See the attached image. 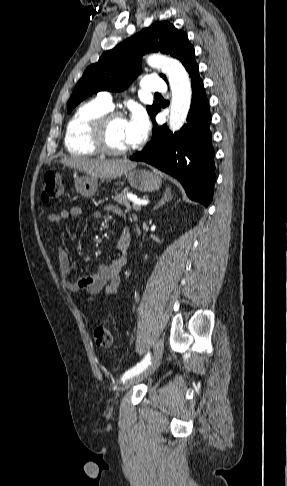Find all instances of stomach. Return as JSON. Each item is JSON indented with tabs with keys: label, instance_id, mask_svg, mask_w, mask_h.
<instances>
[{
	"label": "stomach",
	"instance_id": "0dacf381",
	"mask_svg": "<svg viewBox=\"0 0 287 486\" xmlns=\"http://www.w3.org/2000/svg\"><path fill=\"white\" fill-rule=\"evenodd\" d=\"M129 184L143 192H153L161 187V178L150 171L132 169L125 173ZM76 192L83 197H91L98 189V178L92 176L80 177L75 181Z\"/></svg>",
	"mask_w": 287,
	"mask_h": 486
}]
</instances>
